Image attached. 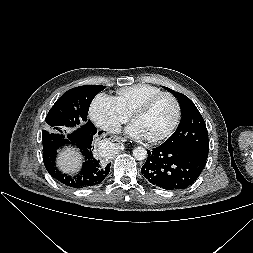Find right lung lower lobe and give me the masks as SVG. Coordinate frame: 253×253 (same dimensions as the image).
<instances>
[{"instance_id": "right-lung-lower-lobe-1", "label": "right lung lower lobe", "mask_w": 253, "mask_h": 253, "mask_svg": "<svg viewBox=\"0 0 253 253\" xmlns=\"http://www.w3.org/2000/svg\"><path fill=\"white\" fill-rule=\"evenodd\" d=\"M102 132H98L92 124L89 128L78 129L71 139L43 142V162L49 174L58 182L72 188H86L100 184L108 175L111 164L96 152L95 139ZM69 143L76 145L84 156L82 168L75 176L63 174L55 165L57 151Z\"/></svg>"}]
</instances>
